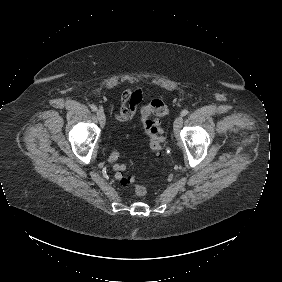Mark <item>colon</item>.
Here are the masks:
<instances>
[{
	"mask_svg": "<svg viewBox=\"0 0 282 282\" xmlns=\"http://www.w3.org/2000/svg\"><path fill=\"white\" fill-rule=\"evenodd\" d=\"M151 110L156 115H163L167 111V106L163 102H156L152 105ZM147 113L143 114V117H148ZM152 121V120H150ZM144 130L146 133L148 148L152 153H159L163 148V136L158 128L156 122H152L150 125H145ZM120 154L119 151L113 148L109 154V162L113 171L115 172L116 178L122 185H129L133 182L131 177L126 176L125 166L119 162ZM134 192L138 197H143L147 193V187L144 184H136L134 186Z\"/></svg>",
	"mask_w": 282,
	"mask_h": 282,
	"instance_id": "1",
	"label": "colon"
}]
</instances>
